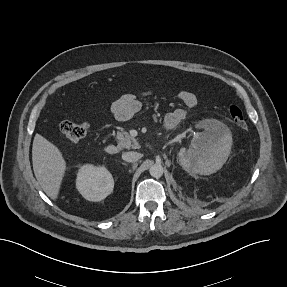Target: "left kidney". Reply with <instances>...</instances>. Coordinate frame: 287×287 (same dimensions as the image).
Wrapping results in <instances>:
<instances>
[{"mask_svg":"<svg viewBox=\"0 0 287 287\" xmlns=\"http://www.w3.org/2000/svg\"><path fill=\"white\" fill-rule=\"evenodd\" d=\"M204 129L193 137L188 150L180 149L179 161L187 172L210 175L227 161L232 136L219 124H206Z\"/></svg>","mask_w":287,"mask_h":287,"instance_id":"5707ae66","label":"left kidney"}]
</instances>
